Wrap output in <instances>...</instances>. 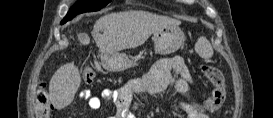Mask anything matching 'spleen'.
<instances>
[{"mask_svg":"<svg viewBox=\"0 0 273 118\" xmlns=\"http://www.w3.org/2000/svg\"><path fill=\"white\" fill-rule=\"evenodd\" d=\"M195 51L202 58L209 59L213 56V48L205 37H200L195 44Z\"/></svg>","mask_w":273,"mask_h":118,"instance_id":"3e777b00","label":"spleen"}]
</instances>
